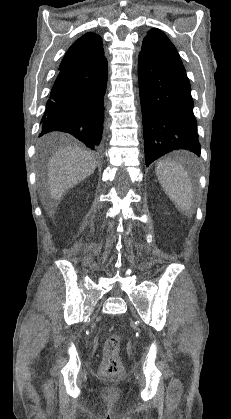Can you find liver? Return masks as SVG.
<instances>
[{
  "instance_id": "obj_1",
  "label": "liver",
  "mask_w": 231,
  "mask_h": 419,
  "mask_svg": "<svg viewBox=\"0 0 231 419\" xmlns=\"http://www.w3.org/2000/svg\"><path fill=\"white\" fill-rule=\"evenodd\" d=\"M96 168L93 154L77 146H65L50 159L48 166V185L51 202L47 203L49 214L54 213L52 203L79 182L90 176Z\"/></svg>"
}]
</instances>
